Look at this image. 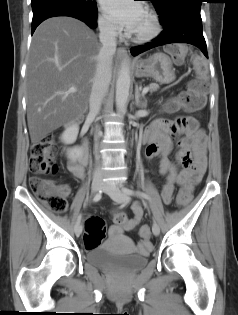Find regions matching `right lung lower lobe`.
I'll return each mask as SVG.
<instances>
[{
  "instance_id": "1",
  "label": "right lung lower lobe",
  "mask_w": 238,
  "mask_h": 315,
  "mask_svg": "<svg viewBox=\"0 0 238 315\" xmlns=\"http://www.w3.org/2000/svg\"><path fill=\"white\" fill-rule=\"evenodd\" d=\"M33 19L32 34L44 20L56 16H70L85 22L89 27L97 26V6H86L71 0H31Z\"/></svg>"
}]
</instances>
